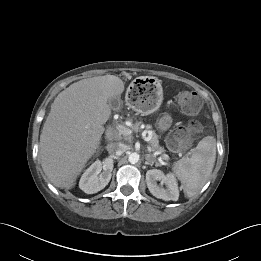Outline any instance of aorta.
<instances>
[{"instance_id":"762f6f07","label":"aorta","mask_w":261,"mask_h":261,"mask_svg":"<svg viewBox=\"0 0 261 261\" xmlns=\"http://www.w3.org/2000/svg\"><path fill=\"white\" fill-rule=\"evenodd\" d=\"M128 161L131 163V164H135L139 161V154L134 152V153H131L128 157Z\"/></svg>"}]
</instances>
